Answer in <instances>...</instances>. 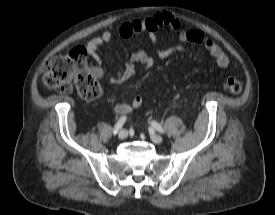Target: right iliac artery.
<instances>
[{
    "label": "right iliac artery",
    "instance_id": "right-iliac-artery-1",
    "mask_svg": "<svg viewBox=\"0 0 275 215\" xmlns=\"http://www.w3.org/2000/svg\"><path fill=\"white\" fill-rule=\"evenodd\" d=\"M126 121V116L121 117L118 122L115 124V127L113 129V134H117L118 131L123 127L124 123Z\"/></svg>",
    "mask_w": 275,
    "mask_h": 215
}]
</instances>
